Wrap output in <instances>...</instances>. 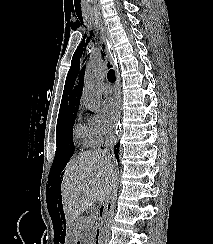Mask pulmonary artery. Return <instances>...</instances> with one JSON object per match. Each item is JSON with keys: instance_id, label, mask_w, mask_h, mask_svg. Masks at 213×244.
I'll return each mask as SVG.
<instances>
[{"instance_id": "e3ab8cb5", "label": "pulmonary artery", "mask_w": 213, "mask_h": 244, "mask_svg": "<svg viewBox=\"0 0 213 244\" xmlns=\"http://www.w3.org/2000/svg\"><path fill=\"white\" fill-rule=\"evenodd\" d=\"M101 91H102V93H104V94H110L111 93V91H112V86H111V84L110 83H102V85H101Z\"/></svg>"}]
</instances>
